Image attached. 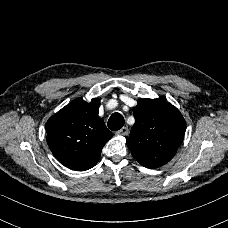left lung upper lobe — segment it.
I'll return each mask as SVG.
<instances>
[{"label": "left lung upper lobe", "mask_w": 228, "mask_h": 228, "mask_svg": "<svg viewBox=\"0 0 228 228\" xmlns=\"http://www.w3.org/2000/svg\"><path fill=\"white\" fill-rule=\"evenodd\" d=\"M135 124L126 143L132 156L144 167L157 168L169 162L183 141L186 123L173 105L162 99H141L133 109Z\"/></svg>", "instance_id": "5c2ea615"}]
</instances>
